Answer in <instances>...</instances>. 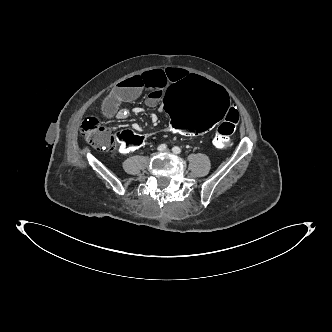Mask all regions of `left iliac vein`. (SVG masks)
Segmentation results:
<instances>
[{
  "mask_svg": "<svg viewBox=\"0 0 332 332\" xmlns=\"http://www.w3.org/2000/svg\"><path fill=\"white\" fill-rule=\"evenodd\" d=\"M164 152H166V153H169V150H168V149H166V150H164Z\"/></svg>",
  "mask_w": 332,
  "mask_h": 332,
  "instance_id": "obj_1",
  "label": "left iliac vein"
}]
</instances>
